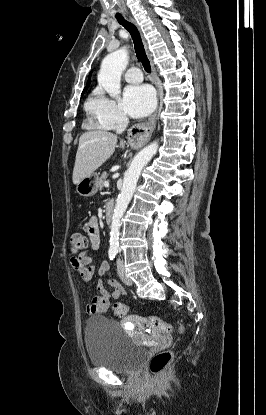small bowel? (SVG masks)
Here are the masks:
<instances>
[{"label":"small bowel","mask_w":266,"mask_h":415,"mask_svg":"<svg viewBox=\"0 0 266 415\" xmlns=\"http://www.w3.org/2000/svg\"><path fill=\"white\" fill-rule=\"evenodd\" d=\"M85 231L89 238L90 249L95 251L100 247V233L98 227V219L96 216H91L89 221L85 224ZM71 266L81 276L85 283L90 282L95 273L94 258L90 254L89 250H85L77 257L71 259ZM110 265L107 261H103L97 273L99 276L109 275ZM109 285L112 287V292H109L103 282L99 280L96 285L98 296L87 305V312L89 314H102L105 313L112 299H118L124 294V288L114 279L108 280Z\"/></svg>","instance_id":"c3829d8e"}]
</instances>
